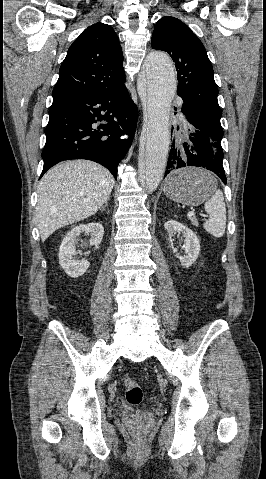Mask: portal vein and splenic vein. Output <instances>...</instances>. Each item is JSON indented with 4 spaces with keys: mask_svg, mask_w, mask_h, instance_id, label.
Instances as JSON below:
<instances>
[{
    "mask_svg": "<svg viewBox=\"0 0 266 479\" xmlns=\"http://www.w3.org/2000/svg\"><path fill=\"white\" fill-rule=\"evenodd\" d=\"M187 216L188 217H193V216H195V212L194 211H189Z\"/></svg>",
    "mask_w": 266,
    "mask_h": 479,
    "instance_id": "18ae733b",
    "label": "portal vein and splenic vein"
}]
</instances>
